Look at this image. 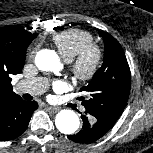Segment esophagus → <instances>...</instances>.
Instances as JSON below:
<instances>
[{"instance_id": "obj_1", "label": "esophagus", "mask_w": 153, "mask_h": 153, "mask_svg": "<svg viewBox=\"0 0 153 153\" xmlns=\"http://www.w3.org/2000/svg\"><path fill=\"white\" fill-rule=\"evenodd\" d=\"M47 110L51 113H56L60 110L59 107H55V106H46Z\"/></svg>"}]
</instances>
